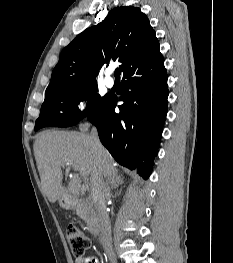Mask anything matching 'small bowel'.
Here are the masks:
<instances>
[{"label": "small bowel", "mask_w": 233, "mask_h": 263, "mask_svg": "<svg viewBox=\"0 0 233 263\" xmlns=\"http://www.w3.org/2000/svg\"><path fill=\"white\" fill-rule=\"evenodd\" d=\"M76 263H99V260L93 256H86L77 260Z\"/></svg>", "instance_id": "small-bowel-1"}]
</instances>
